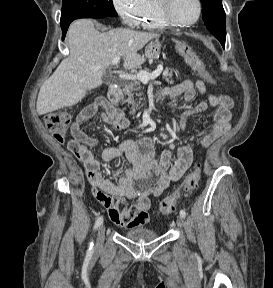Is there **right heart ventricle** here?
Listing matches in <instances>:
<instances>
[{
    "instance_id": "right-heart-ventricle-1",
    "label": "right heart ventricle",
    "mask_w": 273,
    "mask_h": 288,
    "mask_svg": "<svg viewBox=\"0 0 273 288\" xmlns=\"http://www.w3.org/2000/svg\"><path fill=\"white\" fill-rule=\"evenodd\" d=\"M138 25L145 29H162L168 25L160 18L155 0H145Z\"/></svg>"
}]
</instances>
